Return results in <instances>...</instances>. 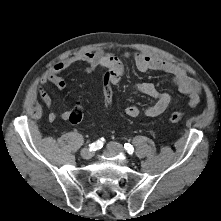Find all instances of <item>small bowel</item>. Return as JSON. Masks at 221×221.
Wrapping results in <instances>:
<instances>
[{"instance_id":"c3829d8e","label":"small bowel","mask_w":221,"mask_h":221,"mask_svg":"<svg viewBox=\"0 0 221 221\" xmlns=\"http://www.w3.org/2000/svg\"><path fill=\"white\" fill-rule=\"evenodd\" d=\"M120 57L130 59L136 70L140 73H150L152 71H160L170 75L171 82L179 89V91L188 97V105L196 107L200 102L202 92L201 85L191 79L186 71L180 66L157 55H149L137 51H125L119 55L106 52L104 50H97L95 52H82L73 56L67 57L55 63L50 70H48L41 79V85L38 87V94L42 102L47 108L52 106V98L46 90L48 84H52L58 89H64L67 85L61 73L76 63L83 62L86 64L85 72L90 73L97 68L103 69L105 66L112 67L114 76L112 79V87L119 83L124 75L126 68L120 60ZM133 90L137 93L147 95L155 100V102L146 107L143 113L147 117H157L161 115L173 103L170 93L160 91L154 84L148 82L137 83ZM102 94V87H101ZM103 97V94H102ZM71 110H65L60 114L63 120H68ZM141 110L135 106L130 105L125 108V114L130 118H136L140 115ZM57 118L55 112L49 113L48 119L53 122Z\"/></svg>"}]
</instances>
